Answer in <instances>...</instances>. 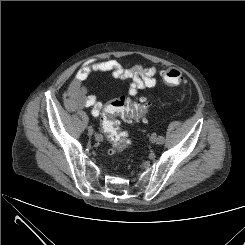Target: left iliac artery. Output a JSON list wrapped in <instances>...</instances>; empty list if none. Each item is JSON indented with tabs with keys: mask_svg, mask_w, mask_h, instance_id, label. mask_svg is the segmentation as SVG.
<instances>
[{
	"mask_svg": "<svg viewBox=\"0 0 245 245\" xmlns=\"http://www.w3.org/2000/svg\"><path fill=\"white\" fill-rule=\"evenodd\" d=\"M157 143H158V144H163V143H164V137L159 136V137L157 138Z\"/></svg>",
	"mask_w": 245,
	"mask_h": 245,
	"instance_id": "left-iliac-artery-1",
	"label": "left iliac artery"
}]
</instances>
